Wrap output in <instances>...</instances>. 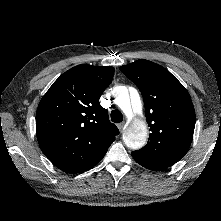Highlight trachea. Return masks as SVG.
Instances as JSON below:
<instances>
[{"instance_id": "trachea-1", "label": "trachea", "mask_w": 221, "mask_h": 221, "mask_svg": "<svg viewBox=\"0 0 221 221\" xmlns=\"http://www.w3.org/2000/svg\"><path fill=\"white\" fill-rule=\"evenodd\" d=\"M111 120L114 123H120L123 121V115L119 110H113L111 112Z\"/></svg>"}]
</instances>
